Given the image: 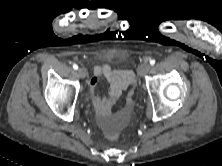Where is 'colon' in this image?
Listing matches in <instances>:
<instances>
[{"label": "colon", "instance_id": "1", "mask_svg": "<svg viewBox=\"0 0 222 166\" xmlns=\"http://www.w3.org/2000/svg\"><path fill=\"white\" fill-rule=\"evenodd\" d=\"M132 101L131 97L128 99V102L130 103ZM107 137L111 140H115L117 138V132L114 130L107 132Z\"/></svg>", "mask_w": 222, "mask_h": 166}]
</instances>
